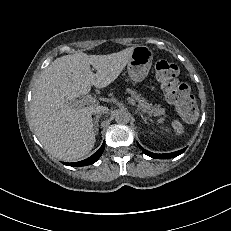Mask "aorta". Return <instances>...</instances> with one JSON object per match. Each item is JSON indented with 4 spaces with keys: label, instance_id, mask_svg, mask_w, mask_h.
<instances>
[{
    "label": "aorta",
    "instance_id": "obj_1",
    "mask_svg": "<svg viewBox=\"0 0 231 231\" xmlns=\"http://www.w3.org/2000/svg\"><path fill=\"white\" fill-rule=\"evenodd\" d=\"M115 121L120 124H127L130 121V114L127 111L120 110L115 115Z\"/></svg>",
    "mask_w": 231,
    "mask_h": 231
}]
</instances>
